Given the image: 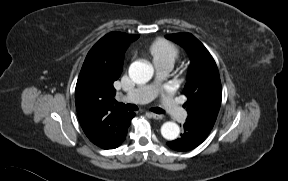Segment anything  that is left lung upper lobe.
<instances>
[{
    "instance_id": "1",
    "label": "left lung upper lobe",
    "mask_w": 288,
    "mask_h": 181,
    "mask_svg": "<svg viewBox=\"0 0 288 181\" xmlns=\"http://www.w3.org/2000/svg\"><path fill=\"white\" fill-rule=\"evenodd\" d=\"M189 53L191 67L183 93L187 96L184 104L187 120L213 127L222 99L221 81L216 63L205 46L190 33L165 36Z\"/></svg>"
}]
</instances>
